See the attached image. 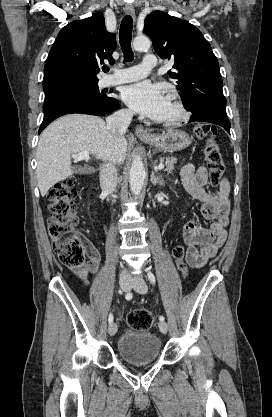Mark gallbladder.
I'll return each mask as SVG.
<instances>
[{
    "label": "gallbladder",
    "mask_w": 272,
    "mask_h": 417,
    "mask_svg": "<svg viewBox=\"0 0 272 417\" xmlns=\"http://www.w3.org/2000/svg\"><path fill=\"white\" fill-rule=\"evenodd\" d=\"M74 171L75 173L80 174V175L85 174L87 172L85 168L80 167V166H75Z\"/></svg>",
    "instance_id": "bac80fb5"
}]
</instances>
